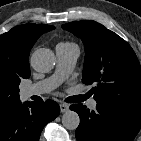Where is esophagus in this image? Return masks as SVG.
I'll use <instances>...</instances> for the list:
<instances>
[{
    "mask_svg": "<svg viewBox=\"0 0 141 141\" xmlns=\"http://www.w3.org/2000/svg\"><path fill=\"white\" fill-rule=\"evenodd\" d=\"M60 110L62 113L66 112L69 110V105L65 104V103H61L60 104Z\"/></svg>",
    "mask_w": 141,
    "mask_h": 141,
    "instance_id": "1",
    "label": "esophagus"
}]
</instances>
